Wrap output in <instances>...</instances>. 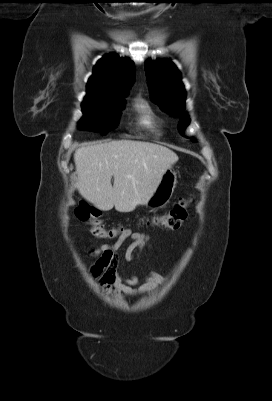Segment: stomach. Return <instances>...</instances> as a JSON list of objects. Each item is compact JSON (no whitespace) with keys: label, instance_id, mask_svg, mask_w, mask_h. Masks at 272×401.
Returning <instances> with one entry per match:
<instances>
[{"label":"stomach","instance_id":"stomach-1","mask_svg":"<svg viewBox=\"0 0 272 401\" xmlns=\"http://www.w3.org/2000/svg\"><path fill=\"white\" fill-rule=\"evenodd\" d=\"M177 183L176 172L173 168H169L163 174L156 190L146 202V207L159 209L164 207L172 197Z\"/></svg>","mask_w":272,"mask_h":401}]
</instances>
